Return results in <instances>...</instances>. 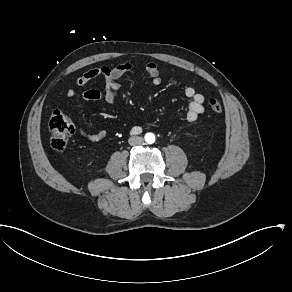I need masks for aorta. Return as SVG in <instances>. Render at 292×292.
Segmentation results:
<instances>
[{
  "mask_svg": "<svg viewBox=\"0 0 292 292\" xmlns=\"http://www.w3.org/2000/svg\"><path fill=\"white\" fill-rule=\"evenodd\" d=\"M145 140L148 143H154L155 142V135L153 133H148L145 136Z\"/></svg>",
  "mask_w": 292,
  "mask_h": 292,
  "instance_id": "aorta-1",
  "label": "aorta"
}]
</instances>
